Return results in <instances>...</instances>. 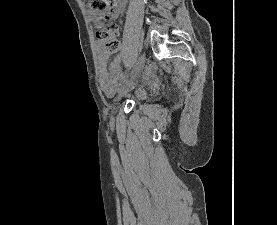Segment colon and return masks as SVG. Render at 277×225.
Wrapping results in <instances>:
<instances>
[{"mask_svg": "<svg viewBox=\"0 0 277 225\" xmlns=\"http://www.w3.org/2000/svg\"><path fill=\"white\" fill-rule=\"evenodd\" d=\"M84 4L94 10L102 18H108V11L110 5L114 0H83ZM99 37L104 42V50L107 54H113L117 52L120 48V43L118 40V28L115 25H109L105 28H102L98 32ZM138 95H143V91L139 90Z\"/></svg>", "mask_w": 277, "mask_h": 225, "instance_id": "colon-1", "label": "colon"}]
</instances>
